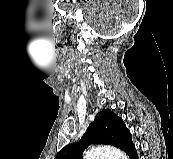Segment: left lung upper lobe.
<instances>
[{
	"mask_svg": "<svg viewBox=\"0 0 173 159\" xmlns=\"http://www.w3.org/2000/svg\"><path fill=\"white\" fill-rule=\"evenodd\" d=\"M132 136L125 123L113 111H100L89 125L80 142L65 146L55 159H81L83 151L91 144H109L127 152L132 146Z\"/></svg>",
	"mask_w": 173,
	"mask_h": 159,
	"instance_id": "5c2ea615",
	"label": "left lung upper lobe"
}]
</instances>
